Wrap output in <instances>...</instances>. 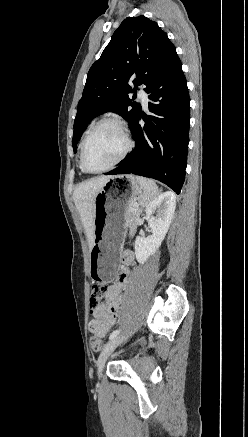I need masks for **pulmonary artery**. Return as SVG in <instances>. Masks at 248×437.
Masks as SVG:
<instances>
[{
    "label": "pulmonary artery",
    "instance_id": "pulmonary-artery-1",
    "mask_svg": "<svg viewBox=\"0 0 248 437\" xmlns=\"http://www.w3.org/2000/svg\"><path fill=\"white\" fill-rule=\"evenodd\" d=\"M138 96L141 99L144 107H147L149 102L148 94L144 90H140Z\"/></svg>",
    "mask_w": 248,
    "mask_h": 437
}]
</instances>
